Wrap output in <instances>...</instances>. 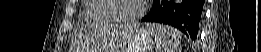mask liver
<instances>
[{"mask_svg":"<svg viewBox=\"0 0 261 52\" xmlns=\"http://www.w3.org/2000/svg\"><path fill=\"white\" fill-rule=\"evenodd\" d=\"M127 28L131 29L132 27L130 26H126ZM122 32L117 31L115 29H112L110 31H108L106 34H104V40L102 42V46L100 48V50H108L110 48H115L116 47V37H118V35H121Z\"/></svg>","mask_w":261,"mask_h":52,"instance_id":"liver-1","label":"liver"}]
</instances>
